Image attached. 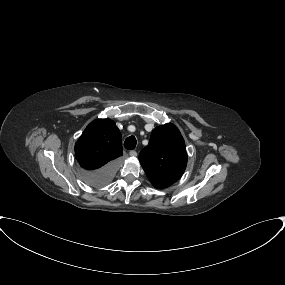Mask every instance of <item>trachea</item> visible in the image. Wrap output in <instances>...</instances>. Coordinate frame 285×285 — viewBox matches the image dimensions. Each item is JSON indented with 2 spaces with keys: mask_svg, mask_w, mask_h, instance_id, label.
I'll list each match as a JSON object with an SVG mask.
<instances>
[{
  "mask_svg": "<svg viewBox=\"0 0 285 285\" xmlns=\"http://www.w3.org/2000/svg\"><path fill=\"white\" fill-rule=\"evenodd\" d=\"M136 144H137L136 138L134 136H129L128 138H126L124 142V147L128 150H133L135 149Z\"/></svg>",
  "mask_w": 285,
  "mask_h": 285,
  "instance_id": "obj_1",
  "label": "trachea"
}]
</instances>
